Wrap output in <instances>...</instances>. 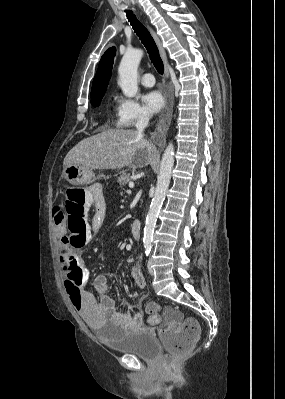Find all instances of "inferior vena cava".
<instances>
[{"label":"inferior vena cava","mask_w":285,"mask_h":399,"mask_svg":"<svg viewBox=\"0 0 285 399\" xmlns=\"http://www.w3.org/2000/svg\"><path fill=\"white\" fill-rule=\"evenodd\" d=\"M149 122V116L145 113L139 115L137 123H136V128L139 133H143L144 129L147 127Z\"/></svg>","instance_id":"1"}]
</instances>
